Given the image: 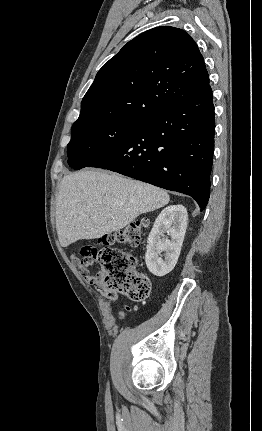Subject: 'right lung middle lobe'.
<instances>
[{"label": "right lung middle lobe", "instance_id": "right-lung-middle-lobe-1", "mask_svg": "<svg viewBox=\"0 0 262 431\" xmlns=\"http://www.w3.org/2000/svg\"><path fill=\"white\" fill-rule=\"evenodd\" d=\"M142 119L88 121L72 126L67 145L68 164L81 169L99 160L125 140Z\"/></svg>", "mask_w": 262, "mask_h": 431}]
</instances>
